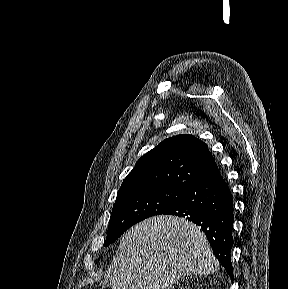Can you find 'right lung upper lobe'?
Listing matches in <instances>:
<instances>
[{
	"label": "right lung upper lobe",
	"mask_w": 288,
	"mask_h": 289,
	"mask_svg": "<svg viewBox=\"0 0 288 289\" xmlns=\"http://www.w3.org/2000/svg\"><path fill=\"white\" fill-rule=\"evenodd\" d=\"M215 167V159L204 142L189 134L177 135L141 157L118 193L155 187L186 190Z\"/></svg>",
	"instance_id": "right-lung-upper-lobe-1"
}]
</instances>
